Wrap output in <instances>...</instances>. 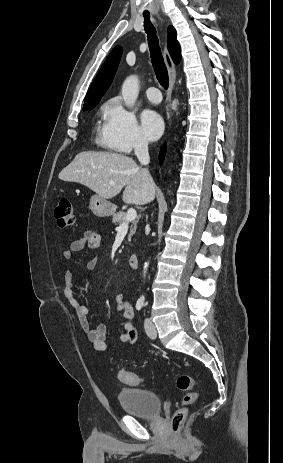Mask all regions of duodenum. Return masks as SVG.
Segmentation results:
<instances>
[{"label": "duodenum", "instance_id": "duodenum-1", "mask_svg": "<svg viewBox=\"0 0 283 463\" xmlns=\"http://www.w3.org/2000/svg\"><path fill=\"white\" fill-rule=\"evenodd\" d=\"M129 265L132 269H136L138 266V257L135 255L130 256Z\"/></svg>", "mask_w": 283, "mask_h": 463}]
</instances>
